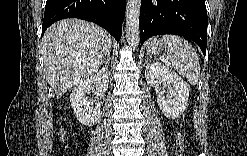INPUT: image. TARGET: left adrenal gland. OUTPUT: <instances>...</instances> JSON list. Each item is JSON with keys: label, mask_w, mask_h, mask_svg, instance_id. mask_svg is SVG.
Returning a JSON list of instances; mask_svg holds the SVG:
<instances>
[{"label": "left adrenal gland", "mask_w": 247, "mask_h": 156, "mask_svg": "<svg viewBox=\"0 0 247 156\" xmlns=\"http://www.w3.org/2000/svg\"><path fill=\"white\" fill-rule=\"evenodd\" d=\"M148 61H149V59H148V56H147L146 61H145V64H147V63H148Z\"/></svg>", "instance_id": "obj_1"}]
</instances>
